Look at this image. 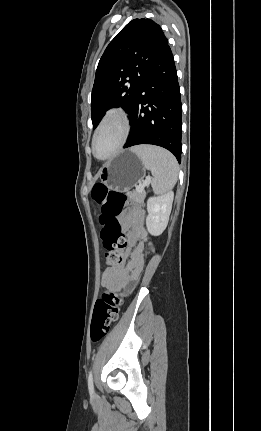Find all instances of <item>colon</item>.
I'll list each match as a JSON object with an SVG mask.
<instances>
[{"mask_svg": "<svg viewBox=\"0 0 261 431\" xmlns=\"http://www.w3.org/2000/svg\"><path fill=\"white\" fill-rule=\"evenodd\" d=\"M91 196L101 211V239L106 250V262L109 266L120 265L123 261L126 237L117 216L131 203L122 192L101 183L94 185ZM121 304L122 299L110 290L105 291L96 302L90 331L93 342L102 340L109 333L112 323L118 319Z\"/></svg>", "mask_w": 261, "mask_h": 431, "instance_id": "colon-1", "label": "colon"}]
</instances>
